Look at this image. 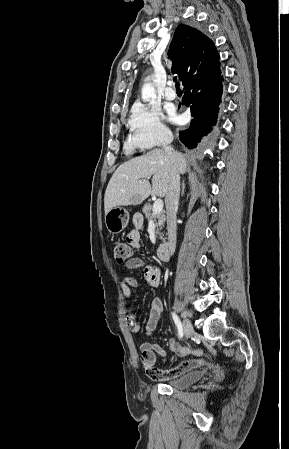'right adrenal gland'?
Instances as JSON below:
<instances>
[{"instance_id":"right-adrenal-gland-1","label":"right adrenal gland","mask_w":289,"mask_h":449,"mask_svg":"<svg viewBox=\"0 0 289 449\" xmlns=\"http://www.w3.org/2000/svg\"><path fill=\"white\" fill-rule=\"evenodd\" d=\"M185 189H186V184H185V182H183L182 183V192H181L182 196H184Z\"/></svg>"}]
</instances>
